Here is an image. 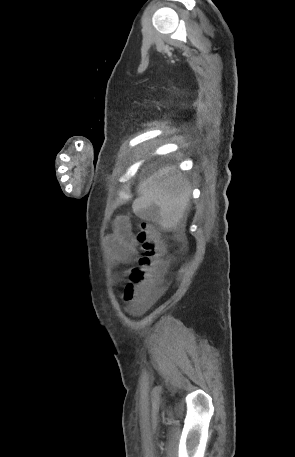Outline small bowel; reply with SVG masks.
I'll list each match as a JSON object with an SVG mask.
<instances>
[{
	"label": "small bowel",
	"instance_id": "1",
	"mask_svg": "<svg viewBox=\"0 0 295 457\" xmlns=\"http://www.w3.org/2000/svg\"><path fill=\"white\" fill-rule=\"evenodd\" d=\"M106 243L113 259L119 263H132L137 257L138 240L132 230L130 220L125 216L115 219L112 233L106 238ZM164 282L154 283L149 297L144 304L136 310H145L166 291Z\"/></svg>",
	"mask_w": 295,
	"mask_h": 457
}]
</instances>
